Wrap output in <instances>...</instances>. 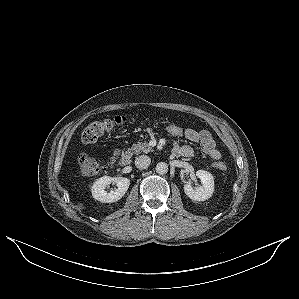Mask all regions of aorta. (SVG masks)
I'll return each instance as SVG.
<instances>
[{"label": "aorta", "instance_id": "1", "mask_svg": "<svg viewBox=\"0 0 299 299\" xmlns=\"http://www.w3.org/2000/svg\"><path fill=\"white\" fill-rule=\"evenodd\" d=\"M156 172L160 175L166 174L168 172V165L164 162H159L156 165Z\"/></svg>", "mask_w": 299, "mask_h": 299}]
</instances>
